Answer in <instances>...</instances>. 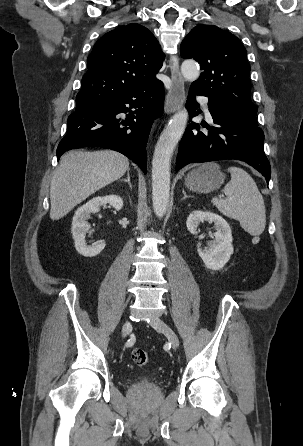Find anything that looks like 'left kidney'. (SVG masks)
<instances>
[{
    "label": "left kidney",
    "mask_w": 303,
    "mask_h": 446,
    "mask_svg": "<svg viewBox=\"0 0 303 446\" xmlns=\"http://www.w3.org/2000/svg\"><path fill=\"white\" fill-rule=\"evenodd\" d=\"M203 221L213 222L216 232L214 233V240L209 242L205 249L200 248L201 244L198 243V254L208 269L220 270L233 254L231 228L227 221L218 214L196 210L190 213L187 218L188 231L195 235L200 222Z\"/></svg>",
    "instance_id": "1"
}]
</instances>
